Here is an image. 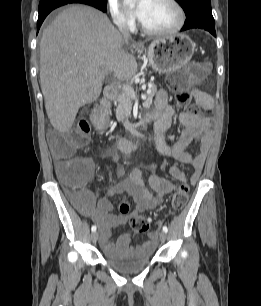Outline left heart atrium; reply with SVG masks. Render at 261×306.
<instances>
[{"mask_svg":"<svg viewBox=\"0 0 261 306\" xmlns=\"http://www.w3.org/2000/svg\"><path fill=\"white\" fill-rule=\"evenodd\" d=\"M147 0H138L133 5H131L130 0H125V3L130 6V11L135 17H140L142 14L143 8L145 6Z\"/></svg>","mask_w":261,"mask_h":306,"instance_id":"left-heart-atrium-1","label":"left heart atrium"}]
</instances>
